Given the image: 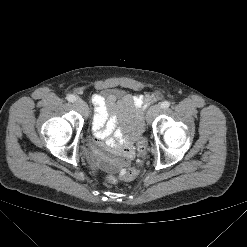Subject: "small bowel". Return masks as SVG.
Instances as JSON below:
<instances>
[{
  "label": "small bowel",
  "mask_w": 247,
  "mask_h": 247,
  "mask_svg": "<svg viewBox=\"0 0 247 247\" xmlns=\"http://www.w3.org/2000/svg\"><path fill=\"white\" fill-rule=\"evenodd\" d=\"M147 97L125 94L121 98L104 97L95 94L93 134L96 140L107 139L108 145L119 155L118 159H108L97 152V161L108 171L123 170L134 156L133 141L139 137L142 128V110ZM114 133V139L110 136Z\"/></svg>",
  "instance_id": "1"
}]
</instances>
